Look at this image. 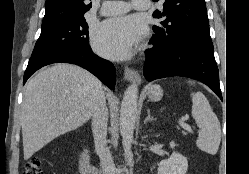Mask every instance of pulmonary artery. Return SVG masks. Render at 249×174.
I'll return each mask as SVG.
<instances>
[{
	"instance_id": "e3ab8cb5",
	"label": "pulmonary artery",
	"mask_w": 249,
	"mask_h": 174,
	"mask_svg": "<svg viewBox=\"0 0 249 174\" xmlns=\"http://www.w3.org/2000/svg\"><path fill=\"white\" fill-rule=\"evenodd\" d=\"M150 0H131L130 3L124 1H105L100 8L101 15H119L127 12L130 8L139 11L149 9Z\"/></svg>"
}]
</instances>
